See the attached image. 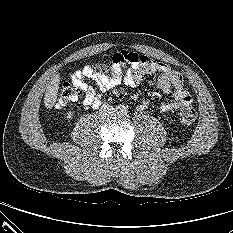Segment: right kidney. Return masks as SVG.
I'll return each mask as SVG.
<instances>
[{"mask_svg": "<svg viewBox=\"0 0 233 233\" xmlns=\"http://www.w3.org/2000/svg\"><path fill=\"white\" fill-rule=\"evenodd\" d=\"M73 115H74V113H73L72 111H69V112L67 113L66 118L68 119V121L71 120V119L73 118Z\"/></svg>", "mask_w": 233, "mask_h": 233, "instance_id": "ca27d5eb", "label": "right kidney"}]
</instances>
